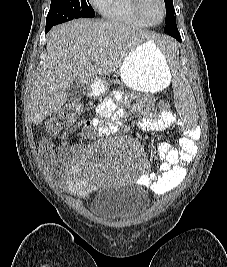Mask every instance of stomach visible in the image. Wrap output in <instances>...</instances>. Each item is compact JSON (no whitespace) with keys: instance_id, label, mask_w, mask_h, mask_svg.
I'll use <instances>...</instances> for the list:
<instances>
[{"instance_id":"1","label":"stomach","mask_w":227,"mask_h":267,"mask_svg":"<svg viewBox=\"0 0 227 267\" xmlns=\"http://www.w3.org/2000/svg\"><path fill=\"white\" fill-rule=\"evenodd\" d=\"M119 76L127 87L144 92H157L166 88L171 80L170 68L161 47L154 41H145L136 47L123 61ZM108 90V85H92L91 96Z\"/></svg>"}]
</instances>
